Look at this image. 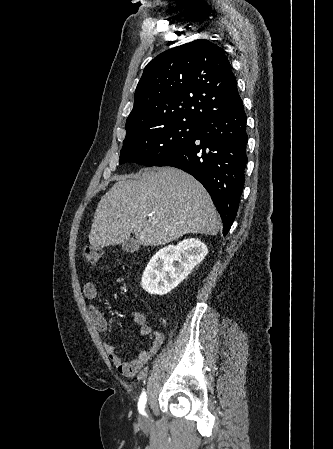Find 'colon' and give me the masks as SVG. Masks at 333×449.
<instances>
[{"instance_id": "obj_1", "label": "colon", "mask_w": 333, "mask_h": 449, "mask_svg": "<svg viewBox=\"0 0 333 449\" xmlns=\"http://www.w3.org/2000/svg\"><path fill=\"white\" fill-rule=\"evenodd\" d=\"M102 257V250L97 246H87L83 251L84 261L88 264H96Z\"/></svg>"}]
</instances>
